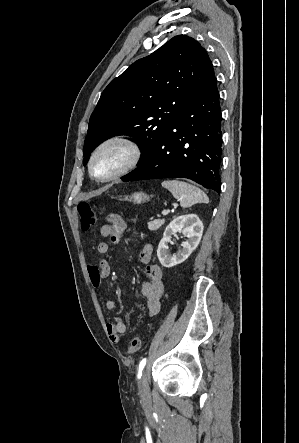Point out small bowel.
I'll return each instance as SVG.
<instances>
[{"instance_id":"c3829d8e","label":"small bowel","mask_w":299,"mask_h":443,"mask_svg":"<svg viewBox=\"0 0 299 443\" xmlns=\"http://www.w3.org/2000/svg\"><path fill=\"white\" fill-rule=\"evenodd\" d=\"M126 229L124 219L118 214H110L107 222L101 226L100 235L108 238L113 243H118ZM100 255H106L109 252V245L106 242H100L97 246ZM152 256L151 245H146L140 252L139 259L146 265V275L148 280L141 285V295L144 300L146 313L148 316L156 315L160 310V301L164 292L163 272L158 265L150 264ZM88 274L92 285L100 288L102 280L108 278L111 274V266L105 259H99L88 269ZM105 308L109 312L116 310V303L113 300L105 301ZM127 330L126 323L121 318H115L113 322L107 324V332L113 343H119Z\"/></svg>"}]
</instances>
